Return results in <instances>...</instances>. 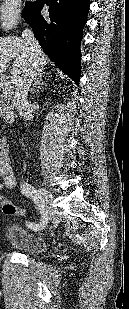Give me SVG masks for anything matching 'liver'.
Masks as SVG:
<instances>
[{
  "label": "liver",
  "instance_id": "1",
  "mask_svg": "<svg viewBox=\"0 0 129 309\" xmlns=\"http://www.w3.org/2000/svg\"><path fill=\"white\" fill-rule=\"evenodd\" d=\"M40 58L43 67V65L48 63V59L42 51ZM12 60L14 62L11 68V74L20 79L29 68V54L24 41L19 37H0V74L7 70Z\"/></svg>",
  "mask_w": 129,
  "mask_h": 309
}]
</instances>
